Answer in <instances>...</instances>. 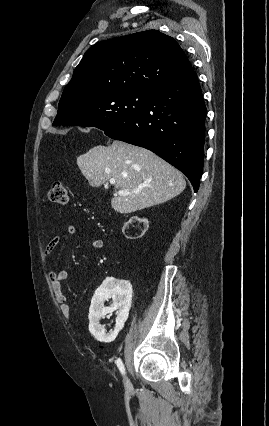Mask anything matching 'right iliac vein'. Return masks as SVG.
Listing matches in <instances>:
<instances>
[{
  "label": "right iliac vein",
  "mask_w": 269,
  "mask_h": 426,
  "mask_svg": "<svg viewBox=\"0 0 269 426\" xmlns=\"http://www.w3.org/2000/svg\"><path fill=\"white\" fill-rule=\"evenodd\" d=\"M124 386L126 388V390L131 391L133 389L132 384L130 382V380L128 379V377L124 378Z\"/></svg>",
  "instance_id": "obj_1"
}]
</instances>
